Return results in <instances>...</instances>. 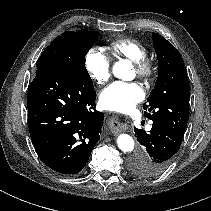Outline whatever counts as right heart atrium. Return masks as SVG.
<instances>
[{
	"instance_id": "d8ad5b80",
	"label": "right heart atrium",
	"mask_w": 211,
	"mask_h": 211,
	"mask_svg": "<svg viewBox=\"0 0 211 211\" xmlns=\"http://www.w3.org/2000/svg\"><path fill=\"white\" fill-rule=\"evenodd\" d=\"M85 67L90 78L97 85H103L110 79V58L97 48H92L86 53Z\"/></svg>"
}]
</instances>
